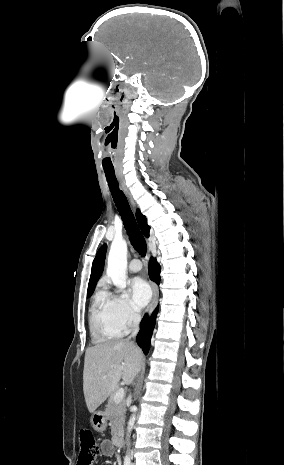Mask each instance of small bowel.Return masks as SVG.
<instances>
[{
  "mask_svg": "<svg viewBox=\"0 0 284 465\" xmlns=\"http://www.w3.org/2000/svg\"><path fill=\"white\" fill-rule=\"evenodd\" d=\"M100 452L103 456L111 457L114 455V447L110 441L105 440L101 443Z\"/></svg>",
  "mask_w": 284,
  "mask_h": 465,
  "instance_id": "c3829d8e",
  "label": "small bowel"
}]
</instances>
